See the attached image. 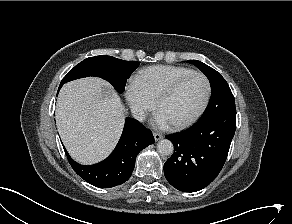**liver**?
Returning <instances> with one entry per match:
<instances>
[{
  "label": "liver",
  "mask_w": 292,
  "mask_h": 224,
  "mask_svg": "<svg viewBox=\"0 0 292 224\" xmlns=\"http://www.w3.org/2000/svg\"><path fill=\"white\" fill-rule=\"evenodd\" d=\"M123 109L119 95L100 78L66 83L58 95L55 116L71 157L89 165L108 156L123 128Z\"/></svg>",
  "instance_id": "liver-1"
}]
</instances>
